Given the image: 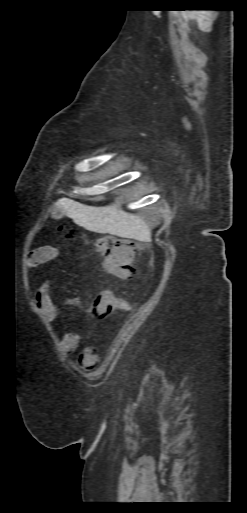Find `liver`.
I'll return each mask as SVG.
<instances>
[{
	"instance_id": "1",
	"label": "liver",
	"mask_w": 247,
	"mask_h": 513,
	"mask_svg": "<svg viewBox=\"0 0 247 513\" xmlns=\"http://www.w3.org/2000/svg\"><path fill=\"white\" fill-rule=\"evenodd\" d=\"M122 203L105 207L86 206L68 198L59 199L53 210L60 209L73 219L74 223L86 230L97 233H109L122 238L150 240L151 231L137 214L122 209Z\"/></svg>"
}]
</instances>
